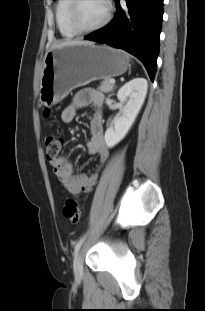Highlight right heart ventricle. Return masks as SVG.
<instances>
[{
  "label": "right heart ventricle",
  "mask_w": 205,
  "mask_h": 311,
  "mask_svg": "<svg viewBox=\"0 0 205 311\" xmlns=\"http://www.w3.org/2000/svg\"><path fill=\"white\" fill-rule=\"evenodd\" d=\"M71 0H58L55 10L56 24L60 34L64 38H73L78 33L71 27L69 22V6Z\"/></svg>",
  "instance_id": "e07e8e85"
}]
</instances>
